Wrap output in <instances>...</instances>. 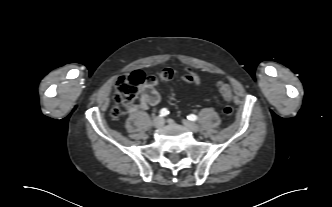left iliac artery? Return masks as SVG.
Instances as JSON below:
<instances>
[{
	"mask_svg": "<svg viewBox=\"0 0 332 207\" xmlns=\"http://www.w3.org/2000/svg\"><path fill=\"white\" fill-rule=\"evenodd\" d=\"M188 119L191 120V121H196L198 119V117L196 115H194V114H190L188 116Z\"/></svg>",
	"mask_w": 332,
	"mask_h": 207,
	"instance_id": "44dca946",
	"label": "left iliac artery"
}]
</instances>
